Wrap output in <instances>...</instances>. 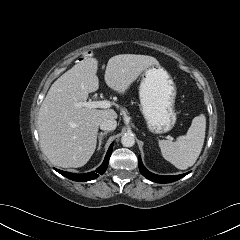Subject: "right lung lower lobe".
Wrapping results in <instances>:
<instances>
[{"instance_id": "1", "label": "right lung lower lobe", "mask_w": 240, "mask_h": 240, "mask_svg": "<svg viewBox=\"0 0 240 240\" xmlns=\"http://www.w3.org/2000/svg\"><path fill=\"white\" fill-rule=\"evenodd\" d=\"M112 148H113V144L110 145L103 164L100 167H98L95 172L93 171V172H89V173H85V174H73V173L65 172V171L58 170V169H55V170L57 172H59L61 175L65 176L71 180H74V181L93 180V179L97 178L99 176V174H103L106 171L108 163H109V158L112 153Z\"/></svg>"}]
</instances>
